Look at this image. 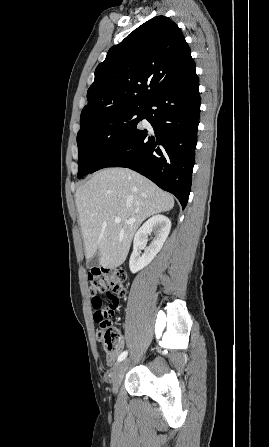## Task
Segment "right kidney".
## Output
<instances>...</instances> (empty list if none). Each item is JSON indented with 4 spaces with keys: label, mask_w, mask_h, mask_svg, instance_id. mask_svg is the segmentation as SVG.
<instances>
[{
    "label": "right kidney",
    "mask_w": 269,
    "mask_h": 447,
    "mask_svg": "<svg viewBox=\"0 0 269 447\" xmlns=\"http://www.w3.org/2000/svg\"><path fill=\"white\" fill-rule=\"evenodd\" d=\"M171 229V222L166 216L162 214H157V216H152L149 218L145 224L141 225L137 233H135L133 241V251L129 259V267L132 273H136L139 269H143L145 265H148L158 251H160L166 237L169 235ZM151 231H154L155 237L152 239L150 245L146 247L144 253L140 255L138 251L139 245H145L147 243V237Z\"/></svg>",
    "instance_id": "1"
}]
</instances>
